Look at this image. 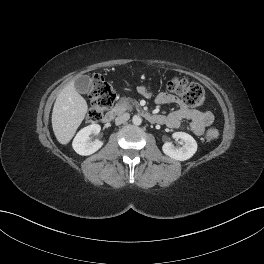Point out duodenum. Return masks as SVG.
<instances>
[{"instance_id": "duodenum-1", "label": "duodenum", "mask_w": 264, "mask_h": 264, "mask_svg": "<svg viewBox=\"0 0 264 264\" xmlns=\"http://www.w3.org/2000/svg\"><path fill=\"white\" fill-rule=\"evenodd\" d=\"M120 114V110L119 109H113L109 112H107L103 118L102 121L104 123H110L112 122L118 115ZM140 114L142 116L145 117V119H147L149 122L153 123V124H162L164 121V118L161 115H157V114H151L148 112H144V111H140Z\"/></svg>"}]
</instances>
